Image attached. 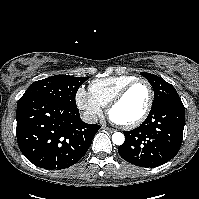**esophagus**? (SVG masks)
Instances as JSON below:
<instances>
[{
    "label": "esophagus",
    "mask_w": 199,
    "mask_h": 199,
    "mask_svg": "<svg viewBox=\"0 0 199 199\" xmlns=\"http://www.w3.org/2000/svg\"><path fill=\"white\" fill-rule=\"evenodd\" d=\"M102 128H103L104 130L110 132V133H113V132L115 131L114 129L109 128V127H106V126H103Z\"/></svg>",
    "instance_id": "esophagus-1"
}]
</instances>
